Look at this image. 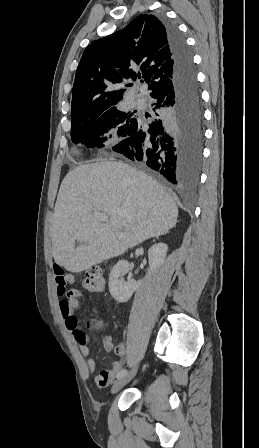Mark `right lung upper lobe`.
<instances>
[{
  "mask_svg": "<svg viewBox=\"0 0 259 448\" xmlns=\"http://www.w3.org/2000/svg\"><path fill=\"white\" fill-rule=\"evenodd\" d=\"M140 73L150 96L172 86L173 61L166 28L154 15L141 14L122 30L86 47L75 75L71 114L114 106L125 91L118 85L126 79L136 80Z\"/></svg>",
  "mask_w": 259,
  "mask_h": 448,
  "instance_id": "1",
  "label": "right lung upper lobe"
}]
</instances>
